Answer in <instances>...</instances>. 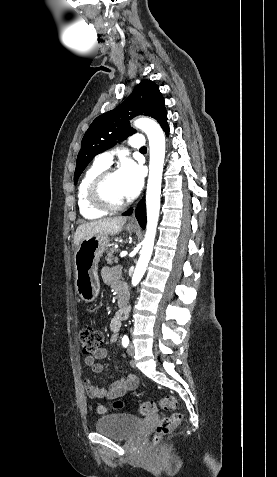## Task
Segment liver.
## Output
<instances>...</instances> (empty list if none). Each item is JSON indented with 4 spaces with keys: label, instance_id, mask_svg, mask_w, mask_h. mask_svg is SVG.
<instances>
[{
    "label": "liver",
    "instance_id": "6515ba94",
    "mask_svg": "<svg viewBox=\"0 0 277 477\" xmlns=\"http://www.w3.org/2000/svg\"><path fill=\"white\" fill-rule=\"evenodd\" d=\"M126 217L104 218L81 224L77 227L74 235V245H77L85 238L95 234L115 235L122 231L126 223Z\"/></svg>",
    "mask_w": 277,
    "mask_h": 477
}]
</instances>
